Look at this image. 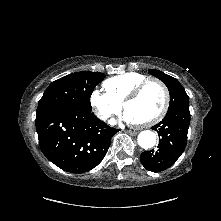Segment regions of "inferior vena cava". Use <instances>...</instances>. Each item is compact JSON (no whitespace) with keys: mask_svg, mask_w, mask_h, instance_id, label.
<instances>
[{"mask_svg":"<svg viewBox=\"0 0 221 221\" xmlns=\"http://www.w3.org/2000/svg\"><path fill=\"white\" fill-rule=\"evenodd\" d=\"M102 117H103L104 119H107V115H103Z\"/></svg>","mask_w":221,"mask_h":221,"instance_id":"1","label":"inferior vena cava"}]
</instances>
